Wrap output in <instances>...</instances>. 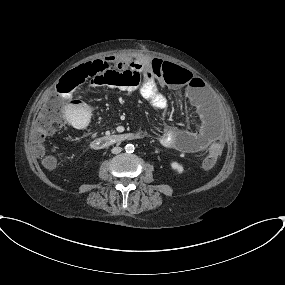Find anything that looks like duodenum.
<instances>
[{
	"label": "duodenum",
	"mask_w": 285,
	"mask_h": 285,
	"mask_svg": "<svg viewBox=\"0 0 285 285\" xmlns=\"http://www.w3.org/2000/svg\"><path fill=\"white\" fill-rule=\"evenodd\" d=\"M140 138L141 135L137 133H113L94 139L91 142V147L93 149L100 150L113 145H118L129 141L138 140Z\"/></svg>",
	"instance_id": "duodenum-1"
}]
</instances>
